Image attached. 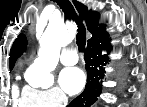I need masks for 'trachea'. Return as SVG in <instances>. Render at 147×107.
<instances>
[{"mask_svg": "<svg viewBox=\"0 0 147 107\" xmlns=\"http://www.w3.org/2000/svg\"><path fill=\"white\" fill-rule=\"evenodd\" d=\"M62 9L67 19H72L77 25L76 43L79 50H84L86 45V28L69 0H55Z\"/></svg>", "mask_w": 147, "mask_h": 107, "instance_id": "trachea-1", "label": "trachea"}]
</instances>
